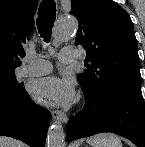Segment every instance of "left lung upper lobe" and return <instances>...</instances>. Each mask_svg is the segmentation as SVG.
<instances>
[{"label": "left lung upper lobe", "instance_id": "left-lung-upper-lobe-1", "mask_svg": "<svg viewBox=\"0 0 145 147\" xmlns=\"http://www.w3.org/2000/svg\"><path fill=\"white\" fill-rule=\"evenodd\" d=\"M79 22L76 45L86 49L87 69L77 76L86 98L99 100L113 90L141 85L137 39L129 14L113 0H71Z\"/></svg>", "mask_w": 145, "mask_h": 147}]
</instances>
